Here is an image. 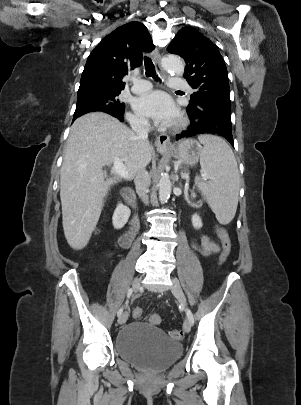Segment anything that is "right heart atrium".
<instances>
[{"mask_svg":"<svg viewBox=\"0 0 301 405\" xmlns=\"http://www.w3.org/2000/svg\"><path fill=\"white\" fill-rule=\"evenodd\" d=\"M128 121L134 128H145L148 126V122L145 118L137 114H128Z\"/></svg>","mask_w":301,"mask_h":405,"instance_id":"obj_1","label":"right heart atrium"}]
</instances>
